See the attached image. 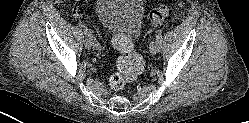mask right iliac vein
Masks as SVG:
<instances>
[{"instance_id":"1","label":"right iliac vein","mask_w":249,"mask_h":123,"mask_svg":"<svg viewBox=\"0 0 249 123\" xmlns=\"http://www.w3.org/2000/svg\"><path fill=\"white\" fill-rule=\"evenodd\" d=\"M84 46H85V48L88 49V50L91 49L92 43H91V41H90L89 38H86V39H85V41H84Z\"/></svg>"}]
</instances>
